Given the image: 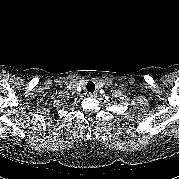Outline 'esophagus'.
Returning a JSON list of instances; mask_svg holds the SVG:
<instances>
[{
	"label": "esophagus",
	"instance_id": "1",
	"mask_svg": "<svg viewBox=\"0 0 179 179\" xmlns=\"http://www.w3.org/2000/svg\"><path fill=\"white\" fill-rule=\"evenodd\" d=\"M95 95H96L95 93H88V94H87V96H88V97H91V98H92V97H95Z\"/></svg>",
	"mask_w": 179,
	"mask_h": 179
}]
</instances>
